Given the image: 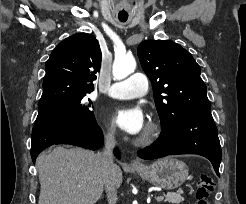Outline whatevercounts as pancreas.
Masks as SVG:
<instances>
[{
    "instance_id": "obj_1",
    "label": "pancreas",
    "mask_w": 246,
    "mask_h": 204,
    "mask_svg": "<svg viewBox=\"0 0 246 204\" xmlns=\"http://www.w3.org/2000/svg\"><path fill=\"white\" fill-rule=\"evenodd\" d=\"M166 201L179 204L184 201V197H182L180 193H168L166 195Z\"/></svg>"
}]
</instances>
